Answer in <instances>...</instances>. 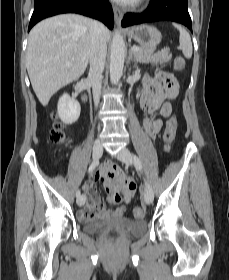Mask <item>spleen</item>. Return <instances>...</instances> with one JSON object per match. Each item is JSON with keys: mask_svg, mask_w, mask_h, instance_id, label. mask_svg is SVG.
<instances>
[{"mask_svg": "<svg viewBox=\"0 0 229 280\" xmlns=\"http://www.w3.org/2000/svg\"><path fill=\"white\" fill-rule=\"evenodd\" d=\"M174 27H176L179 32V43L180 48L182 49L183 55L186 58H191L192 56V42L189 33L179 24L174 23Z\"/></svg>", "mask_w": 229, "mask_h": 280, "instance_id": "3e777b00", "label": "spleen"}]
</instances>
